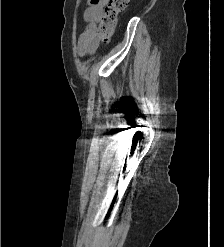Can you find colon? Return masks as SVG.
<instances>
[{
    "instance_id": "obj_1",
    "label": "colon",
    "mask_w": 224,
    "mask_h": 247,
    "mask_svg": "<svg viewBox=\"0 0 224 247\" xmlns=\"http://www.w3.org/2000/svg\"><path fill=\"white\" fill-rule=\"evenodd\" d=\"M130 0H109L98 24L99 39L108 43L117 26L118 17L129 5Z\"/></svg>"
}]
</instances>
